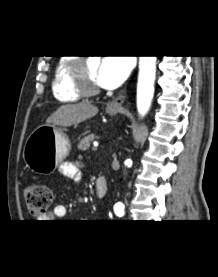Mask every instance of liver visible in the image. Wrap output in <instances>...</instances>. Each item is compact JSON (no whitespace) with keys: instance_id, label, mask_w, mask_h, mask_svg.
<instances>
[{"instance_id":"liver-1","label":"liver","mask_w":218,"mask_h":277,"mask_svg":"<svg viewBox=\"0 0 218 277\" xmlns=\"http://www.w3.org/2000/svg\"><path fill=\"white\" fill-rule=\"evenodd\" d=\"M98 108L89 102L66 104L60 106L48 119L46 125L72 126L94 117Z\"/></svg>"}]
</instances>
